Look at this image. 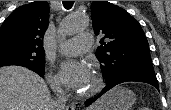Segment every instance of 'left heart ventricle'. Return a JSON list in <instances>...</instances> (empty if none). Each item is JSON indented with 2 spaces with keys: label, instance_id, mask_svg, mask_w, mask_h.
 <instances>
[{
  "label": "left heart ventricle",
  "instance_id": "1",
  "mask_svg": "<svg viewBox=\"0 0 171 110\" xmlns=\"http://www.w3.org/2000/svg\"><path fill=\"white\" fill-rule=\"evenodd\" d=\"M93 85H94V76L91 74L87 82L83 86V88L79 91V93H84V92L89 91L93 87Z\"/></svg>",
  "mask_w": 171,
  "mask_h": 110
}]
</instances>
